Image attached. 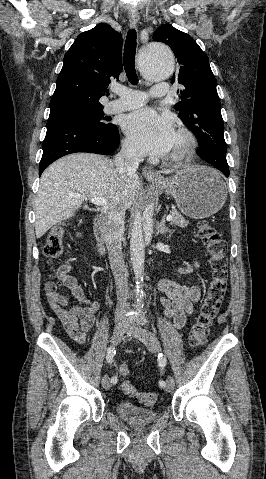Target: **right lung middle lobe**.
Masks as SVG:
<instances>
[{
	"mask_svg": "<svg viewBox=\"0 0 266 479\" xmlns=\"http://www.w3.org/2000/svg\"><path fill=\"white\" fill-rule=\"evenodd\" d=\"M59 118L78 121L96 128L110 127L112 124L105 122L103 107L98 108H73L50 113L49 119Z\"/></svg>",
	"mask_w": 266,
	"mask_h": 479,
	"instance_id": "right-lung-middle-lobe-1",
	"label": "right lung middle lobe"
}]
</instances>
